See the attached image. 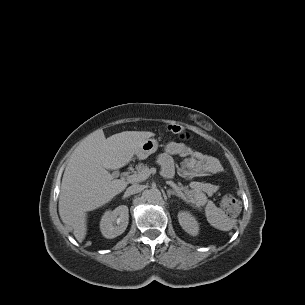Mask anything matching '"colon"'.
<instances>
[{
  "instance_id": "5ec220e1",
  "label": "colon",
  "mask_w": 305,
  "mask_h": 305,
  "mask_svg": "<svg viewBox=\"0 0 305 305\" xmlns=\"http://www.w3.org/2000/svg\"><path fill=\"white\" fill-rule=\"evenodd\" d=\"M168 131L177 134L183 135L184 129L179 125L171 124L167 127ZM221 206L223 210L226 212L228 216L234 217L238 214L240 210V203L239 201L232 195H225L221 199Z\"/></svg>"
}]
</instances>
